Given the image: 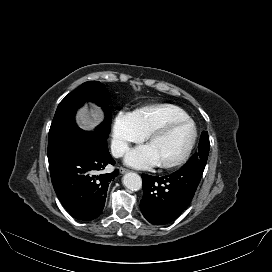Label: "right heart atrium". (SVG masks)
I'll return each mask as SVG.
<instances>
[{
    "label": "right heart atrium",
    "mask_w": 272,
    "mask_h": 272,
    "mask_svg": "<svg viewBox=\"0 0 272 272\" xmlns=\"http://www.w3.org/2000/svg\"><path fill=\"white\" fill-rule=\"evenodd\" d=\"M143 138L135 125L133 113L118 111L113 119L111 135V150L114 156H123L132 143H139Z\"/></svg>",
    "instance_id": "d8ad5b80"
}]
</instances>
